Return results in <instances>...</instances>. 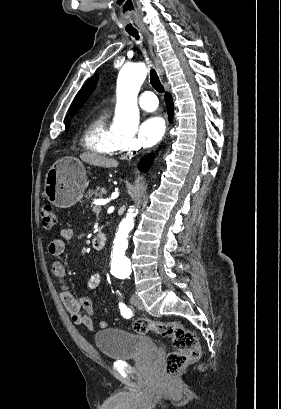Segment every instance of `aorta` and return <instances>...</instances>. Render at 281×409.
<instances>
[{"label":"aorta","instance_id":"1","mask_svg":"<svg viewBox=\"0 0 281 409\" xmlns=\"http://www.w3.org/2000/svg\"><path fill=\"white\" fill-rule=\"evenodd\" d=\"M147 75L144 63L125 64L118 76L117 103L113 129L119 133L135 132L139 124L137 95ZM137 209L130 208L119 230L128 232L134 226Z\"/></svg>","mask_w":281,"mask_h":409}]
</instances>
